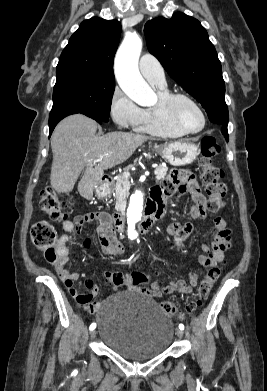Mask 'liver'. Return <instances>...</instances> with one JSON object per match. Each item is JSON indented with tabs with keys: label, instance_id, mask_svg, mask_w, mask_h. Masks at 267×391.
Instances as JSON below:
<instances>
[{
	"label": "liver",
	"instance_id": "obj_1",
	"mask_svg": "<svg viewBox=\"0 0 267 391\" xmlns=\"http://www.w3.org/2000/svg\"><path fill=\"white\" fill-rule=\"evenodd\" d=\"M97 128V122L83 114L70 115L56 126L51 137L53 161L50 183L58 193L71 192L86 166L78 191L90 200L104 170L125 162L150 139L149 136L129 132H111L98 137ZM101 156L97 164L88 165L89 161Z\"/></svg>",
	"mask_w": 267,
	"mask_h": 391
}]
</instances>
